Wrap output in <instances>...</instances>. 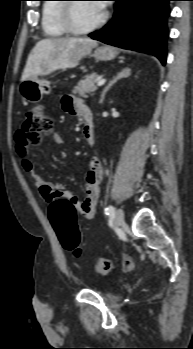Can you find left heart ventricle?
I'll return each mask as SVG.
<instances>
[{"mask_svg":"<svg viewBox=\"0 0 193 349\" xmlns=\"http://www.w3.org/2000/svg\"><path fill=\"white\" fill-rule=\"evenodd\" d=\"M103 14L96 4L79 2L73 8V19L76 27L85 28L94 24Z\"/></svg>","mask_w":193,"mask_h":349,"instance_id":"b2bd125f","label":"left heart ventricle"}]
</instances>
